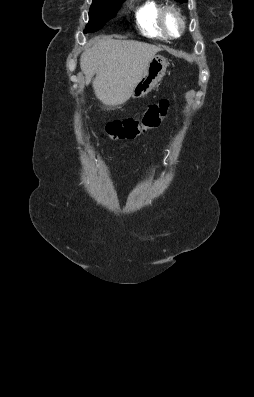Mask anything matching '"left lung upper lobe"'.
<instances>
[{
	"label": "left lung upper lobe",
	"instance_id": "5c2ea615",
	"mask_svg": "<svg viewBox=\"0 0 254 397\" xmlns=\"http://www.w3.org/2000/svg\"><path fill=\"white\" fill-rule=\"evenodd\" d=\"M176 1L181 2V3L187 2V0H176Z\"/></svg>",
	"mask_w": 254,
	"mask_h": 397
}]
</instances>
